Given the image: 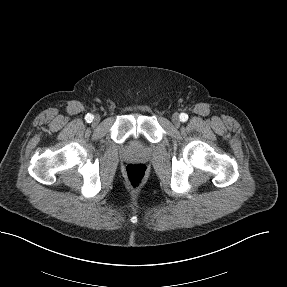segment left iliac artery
I'll use <instances>...</instances> for the list:
<instances>
[{"instance_id":"left-iliac-artery-1","label":"left iliac artery","mask_w":287,"mask_h":287,"mask_svg":"<svg viewBox=\"0 0 287 287\" xmlns=\"http://www.w3.org/2000/svg\"><path fill=\"white\" fill-rule=\"evenodd\" d=\"M180 120H181L182 122L187 121V120H188V115H187L186 113H181V114H180Z\"/></svg>"}]
</instances>
